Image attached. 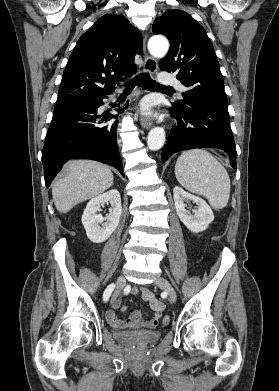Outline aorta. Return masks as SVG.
<instances>
[{
  "label": "aorta",
  "mask_w": 279,
  "mask_h": 391,
  "mask_svg": "<svg viewBox=\"0 0 279 391\" xmlns=\"http://www.w3.org/2000/svg\"><path fill=\"white\" fill-rule=\"evenodd\" d=\"M150 54L156 58H163L169 50V41L162 36H154L148 42ZM165 142V131L161 127H154L148 134L147 145L150 150H159Z\"/></svg>",
  "instance_id": "762f6f07"
}]
</instances>
